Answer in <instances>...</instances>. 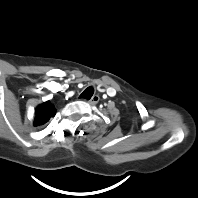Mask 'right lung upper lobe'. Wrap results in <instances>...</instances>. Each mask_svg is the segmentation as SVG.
I'll return each mask as SVG.
<instances>
[{
  "mask_svg": "<svg viewBox=\"0 0 198 198\" xmlns=\"http://www.w3.org/2000/svg\"><path fill=\"white\" fill-rule=\"evenodd\" d=\"M56 114L55 107L50 101H46L35 109L34 126H41L49 121Z\"/></svg>",
  "mask_w": 198,
  "mask_h": 198,
  "instance_id": "obj_1",
  "label": "right lung upper lobe"
}]
</instances>
